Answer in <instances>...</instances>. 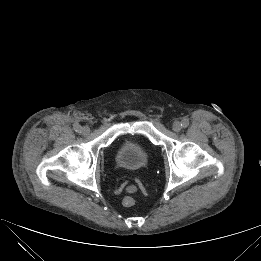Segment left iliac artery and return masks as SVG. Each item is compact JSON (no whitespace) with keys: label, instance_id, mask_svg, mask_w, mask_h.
<instances>
[{"label":"left iliac artery","instance_id":"obj_1","mask_svg":"<svg viewBox=\"0 0 261 261\" xmlns=\"http://www.w3.org/2000/svg\"><path fill=\"white\" fill-rule=\"evenodd\" d=\"M188 125H189V120L188 119H183L182 123H181V126L186 128V127H188Z\"/></svg>","mask_w":261,"mask_h":261}]
</instances>
